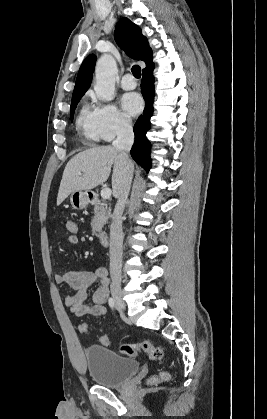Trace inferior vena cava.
<instances>
[{
    "instance_id": "1",
    "label": "inferior vena cava",
    "mask_w": 267,
    "mask_h": 419,
    "mask_svg": "<svg viewBox=\"0 0 267 419\" xmlns=\"http://www.w3.org/2000/svg\"><path fill=\"white\" fill-rule=\"evenodd\" d=\"M117 138L112 145L125 159L126 171L123 180L119 186V196L114 209L112 223L110 227V276L112 279L111 290L120 289L121 269H122V214L129 195L131 181L133 176V164L129 159V151L134 142V133L130 120L122 119L117 131Z\"/></svg>"
}]
</instances>
